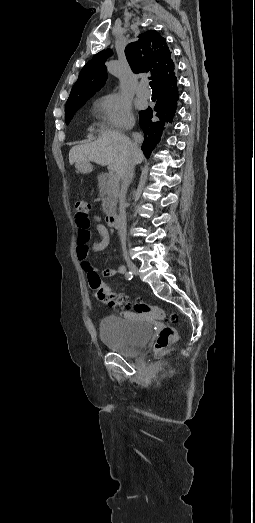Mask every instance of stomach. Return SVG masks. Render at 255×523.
Listing matches in <instances>:
<instances>
[{
	"label": "stomach",
	"instance_id": "1",
	"mask_svg": "<svg viewBox=\"0 0 255 523\" xmlns=\"http://www.w3.org/2000/svg\"><path fill=\"white\" fill-rule=\"evenodd\" d=\"M79 172L82 176H89L92 172V169L89 165H82L79 169Z\"/></svg>",
	"mask_w": 255,
	"mask_h": 523
}]
</instances>
